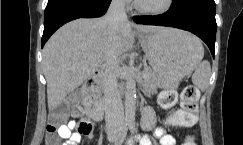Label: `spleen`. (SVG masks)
I'll use <instances>...</instances> for the list:
<instances>
[{"instance_id":"1","label":"spleen","mask_w":243,"mask_h":145,"mask_svg":"<svg viewBox=\"0 0 243 145\" xmlns=\"http://www.w3.org/2000/svg\"><path fill=\"white\" fill-rule=\"evenodd\" d=\"M204 51H202L195 72L192 75V82L195 86H197L200 90L204 91L209 84V78L211 75V66L210 63L205 60L201 62Z\"/></svg>"}]
</instances>
